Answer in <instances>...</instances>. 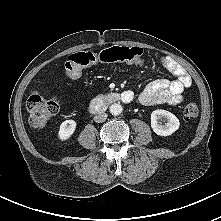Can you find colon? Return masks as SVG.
Returning a JSON list of instances; mask_svg holds the SVG:
<instances>
[{
	"label": "colon",
	"mask_w": 221,
	"mask_h": 221,
	"mask_svg": "<svg viewBox=\"0 0 221 221\" xmlns=\"http://www.w3.org/2000/svg\"><path fill=\"white\" fill-rule=\"evenodd\" d=\"M143 61V50L139 47L114 46L100 51L88 50L71 55L66 62V73L70 78H77L83 68L96 63L124 62L140 64ZM27 110L30 124L35 129L44 128L58 111V103L38 92H33L27 99ZM199 109L195 104H187L183 115L187 119L198 116Z\"/></svg>",
	"instance_id": "1"
}]
</instances>
